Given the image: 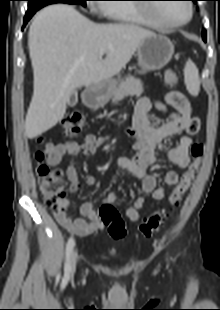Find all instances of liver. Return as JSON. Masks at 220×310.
Returning a JSON list of instances; mask_svg holds the SVG:
<instances>
[{
    "label": "liver",
    "mask_w": 220,
    "mask_h": 310,
    "mask_svg": "<svg viewBox=\"0 0 220 310\" xmlns=\"http://www.w3.org/2000/svg\"><path fill=\"white\" fill-rule=\"evenodd\" d=\"M152 35L132 24H96L65 4L42 9L28 34L34 84L26 136L32 139L54 127L64 117L75 89L110 80ZM101 49L104 59L99 55Z\"/></svg>",
    "instance_id": "liver-1"
}]
</instances>
